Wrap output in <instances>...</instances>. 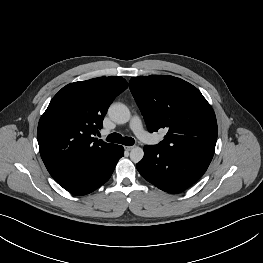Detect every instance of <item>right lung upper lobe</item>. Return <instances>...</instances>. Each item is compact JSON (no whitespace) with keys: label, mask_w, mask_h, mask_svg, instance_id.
Instances as JSON below:
<instances>
[{"label":"right lung upper lobe","mask_w":263,"mask_h":263,"mask_svg":"<svg viewBox=\"0 0 263 263\" xmlns=\"http://www.w3.org/2000/svg\"><path fill=\"white\" fill-rule=\"evenodd\" d=\"M128 87L122 77H100L63 87L40 118L37 138L41 158L59 183L116 144L94 139L114 98Z\"/></svg>","instance_id":"right-lung-upper-lobe-1"}]
</instances>
